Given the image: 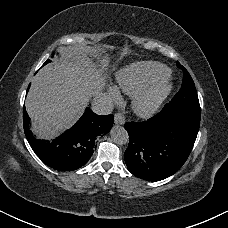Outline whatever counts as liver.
Listing matches in <instances>:
<instances>
[{"label":"liver","mask_w":228,"mask_h":228,"mask_svg":"<svg viewBox=\"0 0 228 228\" xmlns=\"http://www.w3.org/2000/svg\"><path fill=\"white\" fill-rule=\"evenodd\" d=\"M105 47H85L43 67L33 79L26 108L33 130L52 138L69 128L83 113L89 95L101 88L100 71L107 62Z\"/></svg>","instance_id":"obj_1"}]
</instances>
